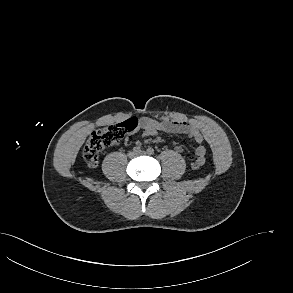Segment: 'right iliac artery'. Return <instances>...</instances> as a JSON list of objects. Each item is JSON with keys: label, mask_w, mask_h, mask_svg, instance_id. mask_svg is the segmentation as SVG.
<instances>
[{"label": "right iliac artery", "mask_w": 293, "mask_h": 293, "mask_svg": "<svg viewBox=\"0 0 293 293\" xmlns=\"http://www.w3.org/2000/svg\"><path fill=\"white\" fill-rule=\"evenodd\" d=\"M133 151L136 152V153H138V152L141 151V147H140V146H135V147L133 148Z\"/></svg>", "instance_id": "right-iliac-artery-1"}]
</instances>
